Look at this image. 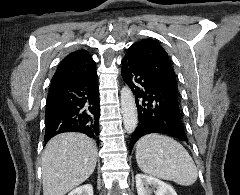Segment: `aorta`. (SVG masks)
<instances>
[{
    "label": "aorta",
    "mask_w": 240,
    "mask_h": 195,
    "mask_svg": "<svg viewBox=\"0 0 240 195\" xmlns=\"http://www.w3.org/2000/svg\"><path fill=\"white\" fill-rule=\"evenodd\" d=\"M120 101L124 127L127 133H133L137 127L138 113L134 96L128 86H123L120 94Z\"/></svg>",
    "instance_id": "762f6f07"
}]
</instances>
